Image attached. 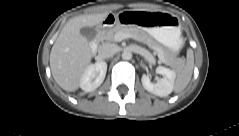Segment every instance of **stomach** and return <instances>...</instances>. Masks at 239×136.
<instances>
[{"instance_id": "obj_1", "label": "stomach", "mask_w": 239, "mask_h": 136, "mask_svg": "<svg viewBox=\"0 0 239 136\" xmlns=\"http://www.w3.org/2000/svg\"><path fill=\"white\" fill-rule=\"evenodd\" d=\"M119 24L140 29L165 46L171 52H178L182 46L178 20L164 12H120Z\"/></svg>"}]
</instances>
